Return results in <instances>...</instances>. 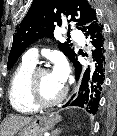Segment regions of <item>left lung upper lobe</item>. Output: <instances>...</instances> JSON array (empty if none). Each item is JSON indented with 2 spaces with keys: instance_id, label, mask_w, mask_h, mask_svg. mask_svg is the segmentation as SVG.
Instances as JSON below:
<instances>
[{
  "instance_id": "obj_1",
  "label": "left lung upper lobe",
  "mask_w": 117,
  "mask_h": 136,
  "mask_svg": "<svg viewBox=\"0 0 117 136\" xmlns=\"http://www.w3.org/2000/svg\"><path fill=\"white\" fill-rule=\"evenodd\" d=\"M62 14L68 17V22L74 21L78 29L87 33L94 27L101 25L95 10L88 1L33 0L28 13L23 18L13 38L8 58V69L12 68L30 44L43 36L53 38L56 25L61 26L62 24ZM58 47L70 61L75 57V52L70 44L59 43Z\"/></svg>"
}]
</instances>
